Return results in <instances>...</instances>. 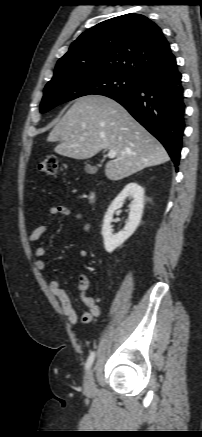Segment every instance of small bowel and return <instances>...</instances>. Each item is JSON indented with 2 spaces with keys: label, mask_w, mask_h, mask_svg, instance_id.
<instances>
[{
  "label": "small bowel",
  "mask_w": 202,
  "mask_h": 437,
  "mask_svg": "<svg viewBox=\"0 0 202 437\" xmlns=\"http://www.w3.org/2000/svg\"><path fill=\"white\" fill-rule=\"evenodd\" d=\"M49 216L51 219H54L56 216L61 215L63 217H70L72 215V211L69 207L65 205H52L50 206ZM75 218L77 220H82V216L80 214H76ZM49 225L43 224L34 228V230L29 235V242L33 243L39 240L47 231ZM84 231L90 232V225L88 223H84ZM46 254V248L44 246H39L33 250V256L35 257L34 266L38 271H43L46 266V262L44 260V256ZM88 254V250L82 248L80 250L81 256H86ZM46 285L49 291L58 299L60 302L62 311L64 315L67 317L68 322L71 325H76L78 323L79 317L77 312L75 311L72 301L67 294V292L61 288L60 282L56 279H46ZM88 288V280L86 277H81L80 279V298L83 304L88 308L81 316V321L85 324L90 323L93 318L98 317L101 314V309L97 304V299L87 296L86 291Z\"/></svg>",
  "instance_id": "c3829d8e"
}]
</instances>
